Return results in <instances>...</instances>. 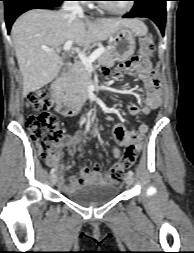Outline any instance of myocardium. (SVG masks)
Here are the masks:
<instances>
[{"label": "myocardium", "instance_id": "obj_1", "mask_svg": "<svg viewBox=\"0 0 194 253\" xmlns=\"http://www.w3.org/2000/svg\"><path fill=\"white\" fill-rule=\"evenodd\" d=\"M100 7L110 14L117 15V16H124L133 9L134 2L133 0H129L127 6L123 9H114L105 3L100 4Z\"/></svg>", "mask_w": 194, "mask_h": 253}]
</instances>
